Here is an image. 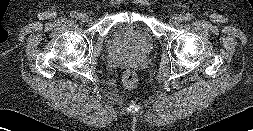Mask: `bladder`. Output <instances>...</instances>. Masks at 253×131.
Listing matches in <instances>:
<instances>
[{"mask_svg":"<svg viewBox=\"0 0 253 131\" xmlns=\"http://www.w3.org/2000/svg\"><path fill=\"white\" fill-rule=\"evenodd\" d=\"M135 27L138 31L139 45L143 50H150L157 42L150 15L147 10L133 8L115 16L114 24L107 34V45L116 42L126 28Z\"/></svg>","mask_w":253,"mask_h":131,"instance_id":"obj_1","label":"bladder"}]
</instances>
